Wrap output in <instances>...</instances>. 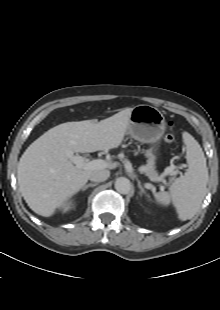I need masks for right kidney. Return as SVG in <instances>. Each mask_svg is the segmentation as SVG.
<instances>
[{"label": "right kidney", "instance_id": "1", "mask_svg": "<svg viewBox=\"0 0 220 310\" xmlns=\"http://www.w3.org/2000/svg\"><path fill=\"white\" fill-rule=\"evenodd\" d=\"M73 207H74V205L71 202H69V203L64 204L62 209H63V212H67L70 209H72Z\"/></svg>", "mask_w": 220, "mask_h": 310}]
</instances>
